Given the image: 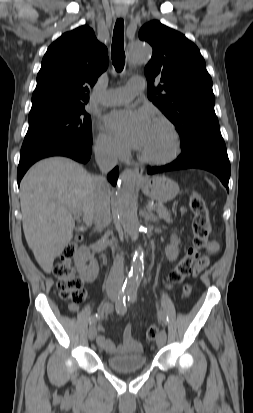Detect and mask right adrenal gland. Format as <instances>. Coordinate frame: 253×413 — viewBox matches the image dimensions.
<instances>
[{
  "label": "right adrenal gland",
  "instance_id": "obj_1",
  "mask_svg": "<svg viewBox=\"0 0 253 413\" xmlns=\"http://www.w3.org/2000/svg\"><path fill=\"white\" fill-rule=\"evenodd\" d=\"M101 229H102V228H97V227H96V228H95V231L101 232Z\"/></svg>",
  "mask_w": 253,
  "mask_h": 413
}]
</instances>
